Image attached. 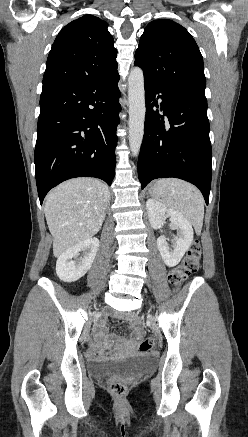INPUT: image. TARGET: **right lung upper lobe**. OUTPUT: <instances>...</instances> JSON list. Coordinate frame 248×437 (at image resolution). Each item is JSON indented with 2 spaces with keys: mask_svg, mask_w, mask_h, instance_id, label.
Segmentation results:
<instances>
[{
  "mask_svg": "<svg viewBox=\"0 0 248 437\" xmlns=\"http://www.w3.org/2000/svg\"><path fill=\"white\" fill-rule=\"evenodd\" d=\"M117 51L105 21L92 15L66 25L50 50L43 85L77 84L117 71Z\"/></svg>",
  "mask_w": 248,
  "mask_h": 437,
  "instance_id": "obj_1",
  "label": "right lung upper lobe"
}]
</instances>
